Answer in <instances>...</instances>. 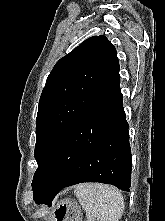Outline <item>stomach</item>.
<instances>
[{"label": "stomach", "mask_w": 165, "mask_h": 221, "mask_svg": "<svg viewBox=\"0 0 165 221\" xmlns=\"http://www.w3.org/2000/svg\"><path fill=\"white\" fill-rule=\"evenodd\" d=\"M56 212H51L53 221H80L78 206L71 200H63L56 205Z\"/></svg>", "instance_id": "stomach-1"}]
</instances>
